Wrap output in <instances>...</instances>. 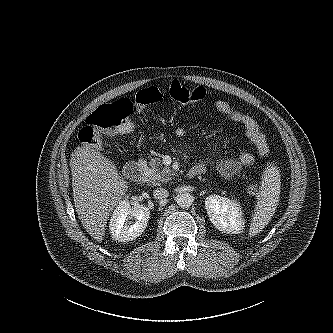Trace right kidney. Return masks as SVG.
I'll return each instance as SVG.
<instances>
[{
  "label": "right kidney",
  "mask_w": 333,
  "mask_h": 333,
  "mask_svg": "<svg viewBox=\"0 0 333 333\" xmlns=\"http://www.w3.org/2000/svg\"><path fill=\"white\" fill-rule=\"evenodd\" d=\"M134 217L136 222L128 225L127 220ZM150 218L149 208L143 205L132 206L128 200L121 201L110 219L109 229L113 240L129 242L140 236Z\"/></svg>",
  "instance_id": "obj_1"
}]
</instances>
